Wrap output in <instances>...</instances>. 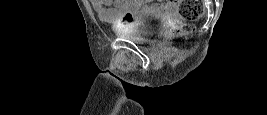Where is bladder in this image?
Masks as SVG:
<instances>
[{"instance_id":"obj_1","label":"bladder","mask_w":267,"mask_h":115,"mask_svg":"<svg viewBox=\"0 0 267 115\" xmlns=\"http://www.w3.org/2000/svg\"><path fill=\"white\" fill-rule=\"evenodd\" d=\"M161 16L154 13H147L141 16V21H137L131 25L119 26L114 29L115 33L122 38L133 41H146L152 38L155 30L145 21H158Z\"/></svg>"}]
</instances>
